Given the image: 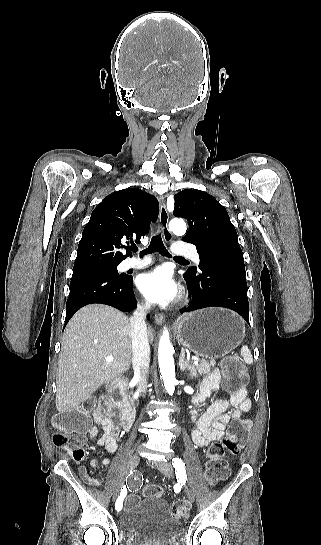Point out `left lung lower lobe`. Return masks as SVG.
<instances>
[{
	"instance_id": "0a47b994",
	"label": "left lung lower lobe",
	"mask_w": 321,
	"mask_h": 545,
	"mask_svg": "<svg viewBox=\"0 0 321 545\" xmlns=\"http://www.w3.org/2000/svg\"><path fill=\"white\" fill-rule=\"evenodd\" d=\"M197 251L200 271L184 274L192 300L181 313L206 307H225L236 311L249 323L245 266L239 243L226 240Z\"/></svg>"
}]
</instances>
